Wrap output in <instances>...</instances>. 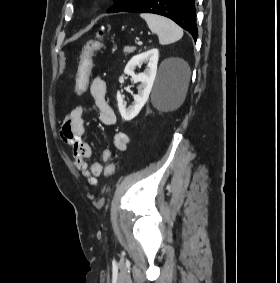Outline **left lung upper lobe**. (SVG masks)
<instances>
[{
	"label": "left lung upper lobe",
	"mask_w": 280,
	"mask_h": 283,
	"mask_svg": "<svg viewBox=\"0 0 280 283\" xmlns=\"http://www.w3.org/2000/svg\"><path fill=\"white\" fill-rule=\"evenodd\" d=\"M138 0H114L115 5L107 10V13L122 12L135 4Z\"/></svg>",
	"instance_id": "1"
}]
</instances>
